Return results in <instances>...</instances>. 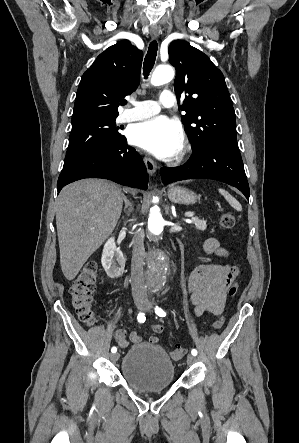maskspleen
Returning <instances> with one entry per match:
<instances>
[{"label":"spleen","instance_id":"1","mask_svg":"<svg viewBox=\"0 0 299 443\" xmlns=\"http://www.w3.org/2000/svg\"><path fill=\"white\" fill-rule=\"evenodd\" d=\"M219 193L222 194L224 196V198L227 200V202L237 211H241L242 210V206L241 204L231 195L229 194L226 190L224 189H219Z\"/></svg>","mask_w":299,"mask_h":443}]
</instances>
